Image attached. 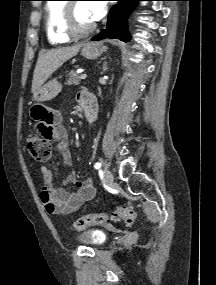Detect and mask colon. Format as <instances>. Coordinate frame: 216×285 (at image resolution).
<instances>
[{
    "instance_id": "1",
    "label": "colon",
    "mask_w": 216,
    "mask_h": 285,
    "mask_svg": "<svg viewBox=\"0 0 216 285\" xmlns=\"http://www.w3.org/2000/svg\"><path fill=\"white\" fill-rule=\"evenodd\" d=\"M42 138L43 136H36V133L32 132L28 135L26 140L29 154L37 161H47L51 154L49 141H43ZM135 218L136 213L133 207L129 204H125L107 213L84 215L74 222L73 229L82 231L90 226L104 224L110 220L123 221L128 226H132L135 222Z\"/></svg>"
}]
</instances>
